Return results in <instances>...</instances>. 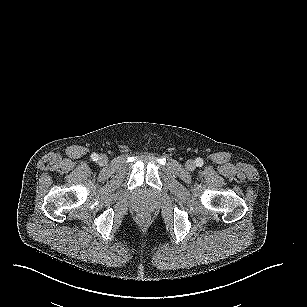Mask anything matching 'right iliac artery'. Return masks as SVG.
Wrapping results in <instances>:
<instances>
[{
    "mask_svg": "<svg viewBox=\"0 0 307 307\" xmlns=\"http://www.w3.org/2000/svg\"><path fill=\"white\" fill-rule=\"evenodd\" d=\"M91 159H92L93 161H97V160H98V155H97L96 153H93V154L91 155Z\"/></svg>",
    "mask_w": 307,
    "mask_h": 307,
    "instance_id": "1",
    "label": "right iliac artery"
}]
</instances>
